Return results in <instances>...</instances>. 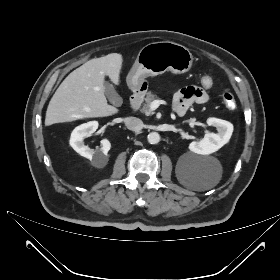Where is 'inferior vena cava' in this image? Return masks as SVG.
<instances>
[{"mask_svg": "<svg viewBox=\"0 0 280 280\" xmlns=\"http://www.w3.org/2000/svg\"><path fill=\"white\" fill-rule=\"evenodd\" d=\"M125 125L132 131H140L143 128V122L136 117H126L124 119Z\"/></svg>", "mask_w": 280, "mask_h": 280, "instance_id": "obj_1", "label": "inferior vena cava"}]
</instances>
